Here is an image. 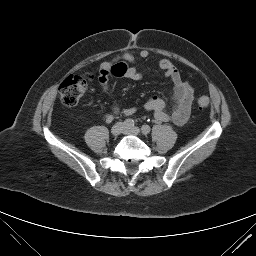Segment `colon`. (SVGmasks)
Masks as SVG:
<instances>
[{
    "mask_svg": "<svg viewBox=\"0 0 256 256\" xmlns=\"http://www.w3.org/2000/svg\"><path fill=\"white\" fill-rule=\"evenodd\" d=\"M88 79V77L82 75H70L65 78L59 87V94L62 102L67 106L77 104L87 90ZM209 103V99L205 96H202L197 100L200 109L207 108Z\"/></svg>",
    "mask_w": 256,
    "mask_h": 256,
    "instance_id": "obj_1",
    "label": "colon"
}]
</instances>
